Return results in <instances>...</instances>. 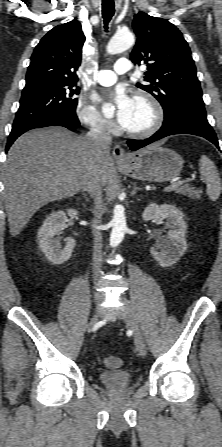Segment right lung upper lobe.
Returning <instances> with one entry per match:
<instances>
[{"label": "right lung upper lobe", "mask_w": 222, "mask_h": 447, "mask_svg": "<svg viewBox=\"0 0 222 447\" xmlns=\"http://www.w3.org/2000/svg\"><path fill=\"white\" fill-rule=\"evenodd\" d=\"M85 36L77 20L50 30L36 46L26 75V88L76 84Z\"/></svg>", "instance_id": "1"}]
</instances>
